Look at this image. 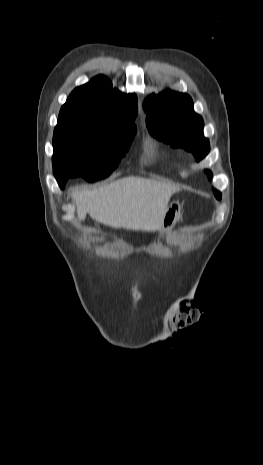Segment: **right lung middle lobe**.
I'll use <instances>...</instances> for the list:
<instances>
[{
	"label": "right lung middle lobe",
	"mask_w": 263,
	"mask_h": 465,
	"mask_svg": "<svg viewBox=\"0 0 263 465\" xmlns=\"http://www.w3.org/2000/svg\"><path fill=\"white\" fill-rule=\"evenodd\" d=\"M136 131L134 121L59 114L53 135L56 179L81 176L93 182L109 176L127 152Z\"/></svg>",
	"instance_id": "obj_1"
}]
</instances>
